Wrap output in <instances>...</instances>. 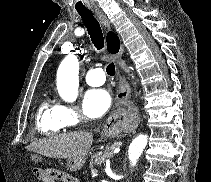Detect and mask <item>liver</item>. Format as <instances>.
<instances>
[{"instance_id": "1", "label": "liver", "mask_w": 211, "mask_h": 182, "mask_svg": "<svg viewBox=\"0 0 211 182\" xmlns=\"http://www.w3.org/2000/svg\"><path fill=\"white\" fill-rule=\"evenodd\" d=\"M93 136L86 131L55 135L33 141L27 149L51 158H73L86 156Z\"/></svg>"}]
</instances>
